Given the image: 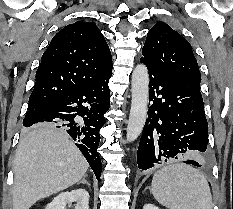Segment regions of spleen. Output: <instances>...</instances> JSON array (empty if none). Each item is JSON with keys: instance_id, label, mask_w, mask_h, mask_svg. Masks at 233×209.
Segmentation results:
<instances>
[{"instance_id": "3e777b00", "label": "spleen", "mask_w": 233, "mask_h": 209, "mask_svg": "<svg viewBox=\"0 0 233 209\" xmlns=\"http://www.w3.org/2000/svg\"><path fill=\"white\" fill-rule=\"evenodd\" d=\"M154 198L169 209H212V195L205 176L183 163L165 166L152 180Z\"/></svg>"}]
</instances>
